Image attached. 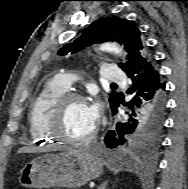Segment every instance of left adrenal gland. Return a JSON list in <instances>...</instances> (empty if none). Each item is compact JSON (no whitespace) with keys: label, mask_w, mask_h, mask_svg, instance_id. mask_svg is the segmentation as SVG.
Here are the masks:
<instances>
[{"label":"left adrenal gland","mask_w":188,"mask_h":189,"mask_svg":"<svg viewBox=\"0 0 188 189\" xmlns=\"http://www.w3.org/2000/svg\"><path fill=\"white\" fill-rule=\"evenodd\" d=\"M106 187H107V182H104L103 184L98 186V189H106Z\"/></svg>","instance_id":"left-adrenal-gland-1"}]
</instances>
